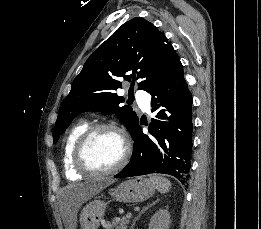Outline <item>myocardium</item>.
Segmentation results:
<instances>
[{
    "mask_svg": "<svg viewBox=\"0 0 261 229\" xmlns=\"http://www.w3.org/2000/svg\"><path fill=\"white\" fill-rule=\"evenodd\" d=\"M108 130L117 133L123 142V154L115 166L101 170L93 167L87 159V148L92 138L100 131ZM131 155V143L124 129L111 123H101L88 127L79 137L73 148V163L75 167L84 174L93 176H108L123 169L129 161Z\"/></svg>",
    "mask_w": 261,
    "mask_h": 229,
    "instance_id": "1",
    "label": "myocardium"
}]
</instances>
